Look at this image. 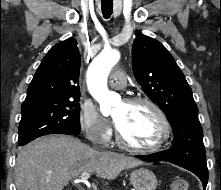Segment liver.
<instances>
[{
  "label": "liver",
  "mask_w": 221,
  "mask_h": 190,
  "mask_svg": "<svg viewBox=\"0 0 221 190\" xmlns=\"http://www.w3.org/2000/svg\"><path fill=\"white\" fill-rule=\"evenodd\" d=\"M142 162L124 154L98 151L68 136H45L19 150L15 165L17 190H63L83 172L108 181Z\"/></svg>",
  "instance_id": "liver-1"
}]
</instances>
